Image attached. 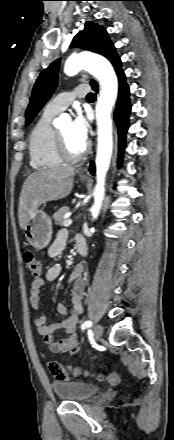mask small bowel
Wrapping results in <instances>:
<instances>
[{
  "instance_id": "small-bowel-1",
  "label": "small bowel",
  "mask_w": 174,
  "mask_h": 440,
  "mask_svg": "<svg viewBox=\"0 0 174 440\" xmlns=\"http://www.w3.org/2000/svg\"><path fill=\"white\" fill-rule=\"evenodd\" d=\"M79 236L75 237L77 240ZM67 242V233L61 230L54 242L48 249V256L52 259L57 258L63 252ZM61 273V266L54 264L44 269L42 275L34 279L30 289V305L38 311L41 308L40 292L47 282L55 281ZM71 287V309L68 313L66 306L59 303L56 306V312L60 316H67L61 322L53 321L47 323V316L43 313L39 314L35 320V326L38 333L42 337L43 342L48 346L50 352L55 354L71 353L76 354L80 349V343L75 333L79 317L82 313V299L85 291V279L82 266H76L69 279ZM62 330L65 337L62 339L55 338V332ZM49 370L58 382L69 381L68 373L63 369L59 362L53 361L49 364Z\"/></svg>"
}]
</instances>
